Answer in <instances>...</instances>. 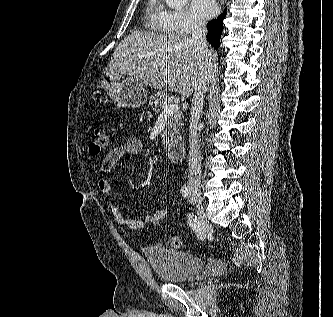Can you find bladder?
I'll use <instances>...</instances> for the list:
<instances>
[{"label": "bladder", "mask_w": 333, "mask_h": 317, "mask_svg": "<svg viewBox=\"0 0 333 317\" xmlns=\"http://www.w3.org/2000/svg\"><path fill=\"white\" fill-rule=\"evenodd\" d=\"M145 256L156 276L169 283L192 281L203 268L199 256L160 245L147 248Z\"/></svg>", "instance_id": "obj_1"}]
</instances>
